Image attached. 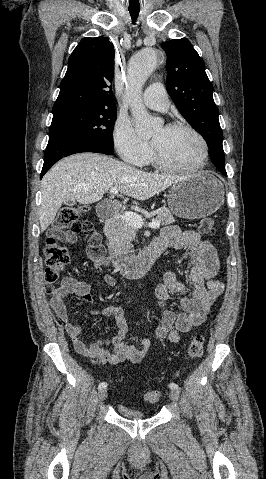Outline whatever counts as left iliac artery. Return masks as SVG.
I'll list each match as a JSON object with an SVG mask.
<instances>
[{
  "label": "left iliac artery",
  "instance_id": "1",
  "mask_svg": "<svg viewBox=\"0 0 266 479\" xmlns=\"http://www.w3.org/2000/svg\"><path fill=\"white\" fill-rule=\"evenodd\" d=\"M169 388L172 390H179L180 387L176 383H170Z\"/></svg>",
  "mask_w": 266,
  "mask_h": 479
}]
</instances>
